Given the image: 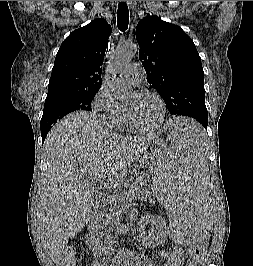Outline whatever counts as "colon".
<instances>
[{"label":"colon","mask_w":253,"mask_h":266,"mask_svg":"<svg viewBox=\"0 0 253 266\" xmlns=\"http://www.w3.org/2000/svg\"><path fill=\"white\" fill-rule=\"evenodd\" d=\"M207 250V242H204L203 248H192L190 252L191 261H199L203 258ZM62 266H77L76 258L71 252H67L62 259Z\"/></svg>","instance_id":"obj_1"}]
</instances>
